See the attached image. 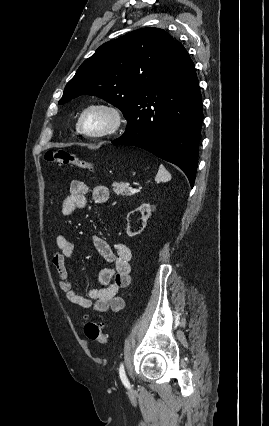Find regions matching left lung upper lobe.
<instances>
[{
  "instance_id": "1",
  "label": "left lung upper lobe",
  "mask_w": 269,
  "mask_h": 426,
  "mask_svg": "<svg viewBox=\"0 0 269 426\" xmlns=\"http://www.w3.org/2000/svg\"><path fill=\"white\" fill-rule=\"evenodd\" d=\"M175 41L159 28H142L106 42L85 60L67 83L59 104L84 94L100 97L124 116L149 89L150 79Z\"/></svg>"
}]
</instances>
